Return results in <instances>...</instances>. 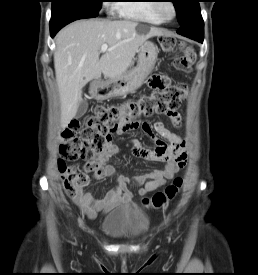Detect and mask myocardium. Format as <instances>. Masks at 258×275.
<instances>
[{"instance_id":"1","label":"myocardium","mask_w":258,"mask_h":275,"mask_svg":"<svg viewBox=\"0 0 258 275\" xmlns=\"http://www.w3.org/2000/svg\"><path fill=\"white\" fill-rule=\"evenodd\" d=\"M159 3H156L155 6H154V10L156 12V14L158 15V17L163 21V22H170L172 20H174L176 17H177V8L175 6V4L171 1H168V2H163V1H158ZM169 4L170 7L172 8L173 10V14L171 17H166L162 14V5L163 4Z\"/></svg>"}]
</instances>
